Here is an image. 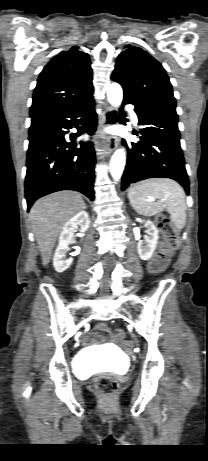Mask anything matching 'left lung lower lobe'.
Here are the masks:
<instances>
[{
    "label": "left lung lower lobe",
    "mask_w": 208,
    "mask_h": 461,
    "mask_svg": "<svg viewBox=\"0 0 208 461\" xmlns=\"http://www.w3.org/2000/svg\"><path fill=\"white\" fill-rule=\"evenodd\" d=\"M123 104L135 105L139 125L144 126L140 142L128 148L127 164L122 176V191L129 184L148 178H171L179 182L189 193V179L180 146L178 115L174 109L140 106L128 97ZM121 114L124 115L121 110ZM124 144L125 141H123Z\"/></svg>",
    "instance_id": "left-lung-lower-lobe-1"
}]
</instances>
